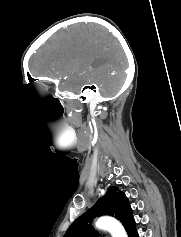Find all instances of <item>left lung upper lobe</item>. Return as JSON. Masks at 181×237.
<instances>
[{"label":"left lung upper lobe","instance_id":"5c2ea615","mask_svg":"<svg viewBox=\"0 0 181 237\" xmlns=\"http://www.w3.org/2000/svg\"><path fill=\"white\" fill-rule=\"evenodd\" d=\"M102 215L116 217L123 224L128 237H134L137 234L132 209L125 193L119 191L117 187H109L106 194L99 198L92 208L71 224L64 237H97L92 221L96 216Z\"/></svg>","mask_w":181,"mask_h":237}]
</instances>
